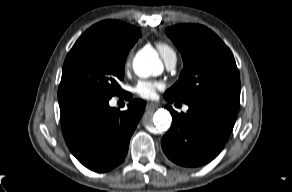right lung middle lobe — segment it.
Returning <instances> with one entry per match:
<instances>
[{
	"mask_svg": "<svg viewBox=\"0 0 292 192\" xmlns=\"http://www.w3.org/2000/svg\"><path fill=\"white\" fill-rule=\"evenodd\" d=\"M132 46L116 47L99 27H90L65 59L58 94L80 91L107 99L119 95L118 83L124 77L125 60Z\"/></svg>",
	"mask_w": 292,
	"mask_h": 192,
	"instance_id": "dd1d6c3e",
	"label": "right lung middle lobe"
}]
</instances>
